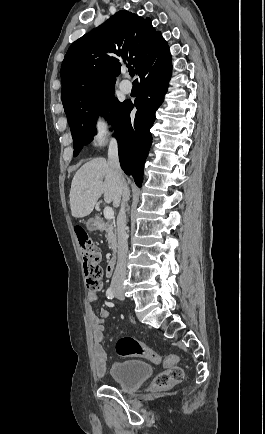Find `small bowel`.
Returning <instances> with one entry per match:
<instances>
[{
	"mask_svg": "<svg viewBox=\"0 0 265 434\" xmlns=\"http://www.w3.org/2000/svg\"><path fill=\"white\" fill-rule=\"evenodd\" d=\"M86 299L89 304L90 323L92 330V370L93 374L101 378L106 373L107 368V352L103 342L105 338V325L110 317V311L106 308H101L98 315L92 310V304L98 301L97 292L89 291L86 294ZM163 368L172 366V363L165 358L160 362Z\"/></svg>",
	"mask_w": 265,
	"mask_h": 434,
	"instance_id": "c3829d8e",
	"label": "small bowel"
}]
</instances>
